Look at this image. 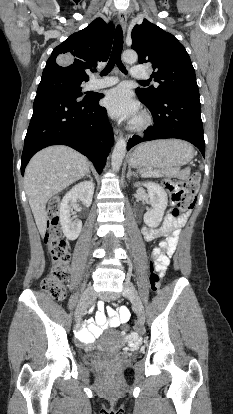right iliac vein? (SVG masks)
Returning a JSON list of instances; mask_svg holds the SVG:
<instances>
[{
	"label": "right iliac vein",
	"instance_id": "63e3f726",
	"mask_svg": "<svg viewBox=\"0 0 233 414\" xmlns=\"http://www.w3.org/2000/svg\"><path fill=\"white\" fill-rule=\"evenodd\" d=\"M94 300H95L94 289L92 287H88L84 291V293H83V295H82V297H81V299H80V301L77 305V308H76V311H75L76 320H79L86 313L87 308L93 303Z\"/></svg>",
	"mask_w": 233,
	"mask_h": 414
}]
</instances>
